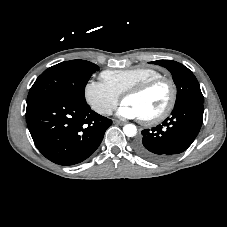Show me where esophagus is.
I'll return each mask as SVG.
<instances>
[{
  "label": "esophagus",
  "instance_id": "obj_1",
  "mask_svg": "<svg viewBox=\"0 0 227 227\" xmlns=\"http://www.w3.org/2000/svg\"><path fill=\"white\" fill-rule=\"evenodd\" d=\"M113 123L116 124V125H124L125 124V122H122V121H119V120H114Z\"/></svg>",
  "mask_w": 227,
  "mask_h": 227
}]
</instances>
